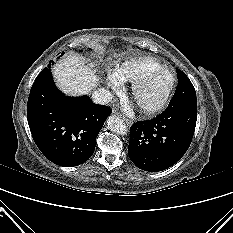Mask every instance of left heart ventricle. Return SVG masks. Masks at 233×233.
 I'll list each match as a JSON object with an SVG mask.
<instances>
[{
	"label": "left heart ventricle",
	"instance_id": "obj_1",
	"mask_svg": "<svg viewBox=\"0 0 233 233\" xmlns=\"http://www.w3.org/2000/svg\"><path fill=\"white\" fill-rule=\"evenodd\" d=\"M169 84V78L163 73L154 74L140 92L139 100L150 104L158 100Z\"/></svg>",
	"mask_w": 233,
	"mask_h": 233
}]
</instances>
